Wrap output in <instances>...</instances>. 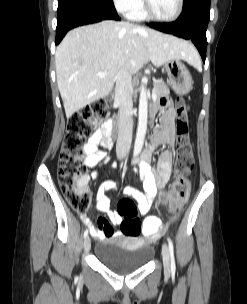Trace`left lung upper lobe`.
Segmentation results:
<instances>
[{
    "label": "left lung upper lobe",
    "mask_w": 247,
    "mask_h": 304,
    "mask_svg": "<svg viewBox=\"0 0 247 304\" xmlns=\"http://www.w3.org/2000/svg\"><path fill=\"white\" fill-rule=\"evenodd\" d=\"M190 0H183V8L188 4Z\"/></svg>",
    "instance_id": "5c2ea615"
}]
</instances>
